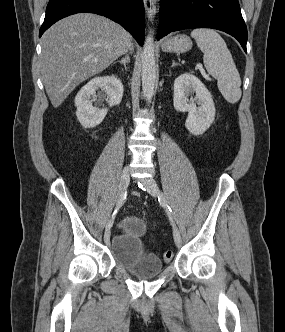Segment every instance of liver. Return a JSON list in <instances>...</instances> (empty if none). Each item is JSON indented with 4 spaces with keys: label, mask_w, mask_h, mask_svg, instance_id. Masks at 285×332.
<instances>
[{
    "label": "liver",
    "mask_w": 285,
    "mask_h": 332,
    "mask_svg": "<svg viewBox=\"0 0 285 332\" xmlns=\"http://www.w3.org/2000/svg\"><path fill=\"white\" fill-rule=\"evenodd\" d=\"M131 46L129 34L105 17L78 13L42 36L41 73L53 107L86 79L104 71Z\"/></svg>",
    "instance_id": "obj_1"
}]
</instances>
